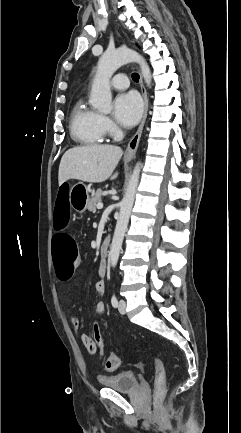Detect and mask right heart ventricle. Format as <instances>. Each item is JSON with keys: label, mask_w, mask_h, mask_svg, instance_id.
Masks as SVG:
<instances>
[{"label": "right heart ventricle", "mask_w": 241, "mask_h": 433, "mask_svg": "<svg viewBox=\"0 0 241 433\" xmlns=\"http://www.w3.org/2000/svg\"><path fill=\"white\" fill-rule=\"evenodd\" d=\"M70 131L72 138L82 144H99L106 138L101 114L83 98L79 99L72 109Z\"/></svg>", "instance_id": "obj_1"}]
</instances>
